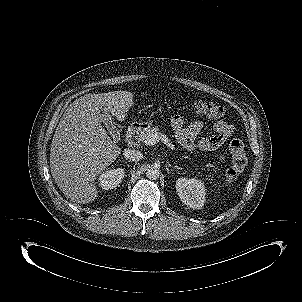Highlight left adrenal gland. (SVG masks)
I'll return each mask as SVG.
<instances>
[{"mask_svg": "<svg viewBox=\"0 0 302 302\" xmlns=\"http://www.w3.org/2000/svg\"><path fill=\"white\" fill-rule=\"evenodd\" d=\"M174 168L180 169V167H179V166H177V165H175V166H174Z\"/></svg>", "mask_w": 302, "mask_h": 302, "instance_id": "a2214340", "label": "left adrenal gland"}]
</instances>
